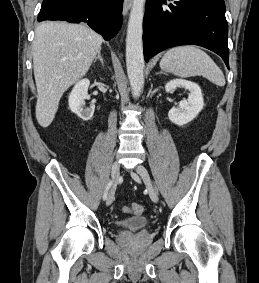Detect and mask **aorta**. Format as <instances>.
<instances>
[{
    "label": "aorta",
    "mask_w": 259,
    "mask_h": 283,
    "mask_svg": "<svg viewBox=\"0 0 259 283\" xmlns=\"http://www.w3.org/2000/svg\"><path fill=\"white\" fill-rule=\"evenodd\" d=\"M145 0H133L126 35L127 74L134 98L144 87L143 17Z\"/></svg>",
    "instance_id": "obj_1"
}]
</instances>
